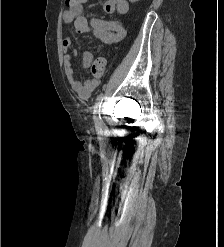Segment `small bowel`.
Masks as SVG:
<instances>
[{
    "label": "small bowel",
    "mask_w": 224,
    "mask_h": 247,
    "mask_svg": "<svg viewBox=\"0 0 224 247\" xmlns=\"http://www.w3.org/2000/svg\"><path fill=\"white\" fill-rule=\"evenodd\" d=\"M103 9L107 14L116 12L120 15H124L129 10V4L126 0H106ZM63 22L66 24L73 23L76 33H84L91 29L94 36L106 44L118 42L125 35V30L118 21L103 20L97 17L88 18L83 13V6L65 10L63 13ZM73 42V35H68L62 40L64 71L73 92L79 98L87 99L98 87L100 80L99 78H94L85 82H80L77 79L76 72L72 65V62L77 55ZM93 59L94 52L92 50L85 51L82 56L83 67H89L92 64Z\"/></svg>",
    "instance_id": "c3829d8e"
}]
</instances>
